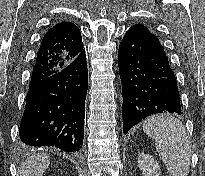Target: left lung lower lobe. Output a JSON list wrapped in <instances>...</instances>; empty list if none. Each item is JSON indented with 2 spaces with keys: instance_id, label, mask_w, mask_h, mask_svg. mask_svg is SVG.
<instances>
[{
  "instance_id": "obj_1",
  "label": "left lung lower lobe",
  "mask_w": 205,
  "mask_h": 176,
  "mask_svg": "<svg viewBox=\"0 0 205 176\" xmlns=\"http://www.w3.org/2000/svg\"><path fill=\"white\" fill-rule=\"evenodd\" d=\"M123 88V132L149 115L181 114L177 81L158 38L143 25H133L118 50Z\"/></svg>"
}]
</instances>
